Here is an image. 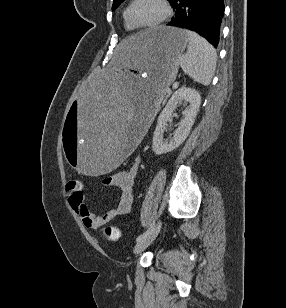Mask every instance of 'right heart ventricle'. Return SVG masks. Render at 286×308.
I'll return each mask as SVG.
<instances>
[{
	"mask_svg": "<svg viewBox=\"0 0 286 308\" xmlns=\"http://www.w3.org/2000/svg\"><path fill=\"white\" fill-rule=\"evenodd\" d=\"M123 23H124V27H125L126 30H128V31H133L134 30V28L131 27L129 25V23L127 22V20H126V10H124V12H123Z\"/></svg>",
	"mask_w": 286,
	"mask_h": 308,
	"instance_id": "obj_1",
	"label": "right heart ventricle"
}]
</instances>
